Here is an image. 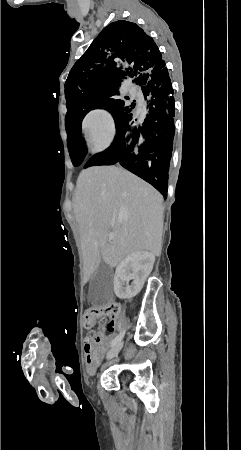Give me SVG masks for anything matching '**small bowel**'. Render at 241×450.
Wrapping results in <instances>:
<instances>
[{"label": "small bowel", "mask_w": 241, "mask_h": 450, "mask_svg": "<svg viewBox=\"0 0 241 450\" xmlns=\"http://www.w3.org/2000/svg\"><path fill=\"white\" fill-rule=\"evenodd\" d=\"M95 325V324H94ZM93 325V326H94ZM87 328H92L93 326H87ZM120 326V321L118 319H111L107 323V327L98 330L91 335L87 336L84 342V353L85 361L87 364V369L90 374H94L100 362L101 355L104 351L109 348L113 341V336L106 335L105 331L113 333L116 328ZM114 328L113 330H110Z\"/></svg>", "instance_id": "1"}]
</instances>
